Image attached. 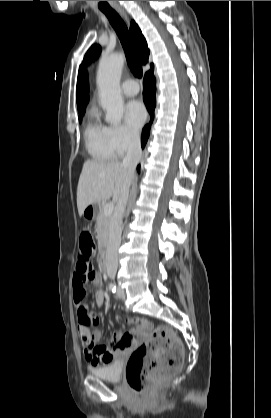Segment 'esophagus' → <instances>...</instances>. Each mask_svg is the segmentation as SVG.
<instances>
[{
  "instance_id": "1",
  "label": "esophagus",
  "mask_w": 271,
  "mask_h": 418,
  "mask_svg": "<svg viewBox=\"0 0 271 418\" xmlns=\"http://www.w3.org/2000/svg\"><path fill=\"white\" fill-rule=\"evenodd\" d=\"M116 10L128 21V16L122 8H117Z\"/></svg>"
}]
</instances>
